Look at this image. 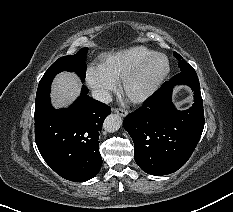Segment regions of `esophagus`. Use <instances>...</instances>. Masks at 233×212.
<instances>
[{
	"instance_id": "34e87169",
	"label": "esophagus",
	"mask_w": 233,
	"mask_h": 212,
	"mask_svg": "<svg viewBox=\"0 0 233 212\" xmlns=\"http://www.w3.org/2000/svg\"><path fill=\"white\" fill-rule=\"evenodd\" d=\"M114 112L119 114L122 117H125L128 114V111L126 109H123V108H115Z\"/></svg>"
}]
</instances>
